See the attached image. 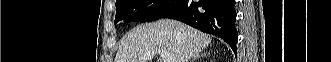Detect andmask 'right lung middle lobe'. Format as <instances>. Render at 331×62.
<instances>
[{
	"mask_svg": "<svg viewBox=\"0 0 331 62\" xmlns=\"http://www.w3.org/2000/svg\"><path fill=\"white\" fill-rule=\"evenodd\" d=\"M180 0H118L115 24L124 22H149L162 18Z\"/></svg>",
	"mask_w": 331,
	"mask_h": 62,
	"instance_id": "1",
	"label": "right lung middle lobe"
}]
</instances>
